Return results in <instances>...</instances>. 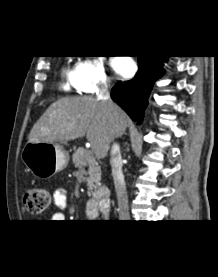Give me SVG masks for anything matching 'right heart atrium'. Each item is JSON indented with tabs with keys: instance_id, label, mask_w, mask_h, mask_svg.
Returning a JSON list of instances; mask_svg holds the SVG:
<instances>
[{
	"instance_id": "right-heart-atrium-1",
	"label": "right heart atrium",
	"mask_w": 218,
	"mask_h": 277,
	"mask_svg": "<svg viewBox=\"0 0 218 277\" xmlns=\"http://www.w3.org/2000/svg\"><path fill=\"white\" fill-rule=\"evenodd\" d=\"M109 82L101 57H87L76 67L74 83L76 89L82 93H92L105 89L109 86Z\"/></svg>"
}]
</instances>
